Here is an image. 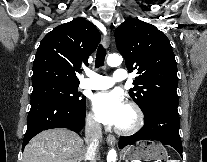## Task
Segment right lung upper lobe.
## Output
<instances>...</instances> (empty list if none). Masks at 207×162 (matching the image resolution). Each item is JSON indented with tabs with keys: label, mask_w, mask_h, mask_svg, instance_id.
Returning a JSON list of instances; mask_svg holds the SVG:
<instances>
[{
	"label": "right lung upper lobe",
	"mask_w": 207,
	"mask_h": 162,
	"mask_svg": "<svg viewBox=\"0 0 207 162\" xmlns=\"http://www.w3.org/2000/svg\"><path fill=\"white\" fill-rule=\"evenodd\" d=\"M97 28L81 18L61 24L41 41L33 63L32 85H79L76 72L100 42Z\"/></svg>",
	"instance_id": "obj_1"
}]
</instances>
